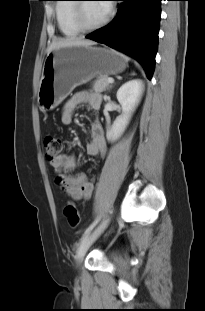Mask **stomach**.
Returning <instances> with one entry per match:
<instances>
[{
  "label": "stomach",
  "instance_id": "0dacf381",
  "mask_svg": "<svg viewBox=\"0 0 205 311\" xmlns=\"http://www.w3.org/2000/svg\"><path fill=\"white\" fill-rule=\"evenodd\" d=\"M127 59L100 47L68 46L55 49L45 58L37 101L43 110L57 107L72 90L97 76L120 73Z\"/></svg>",
  "mask_w": 205,
  "mask_h": 311
}]
</instances>
